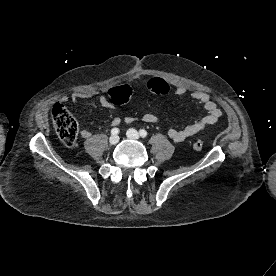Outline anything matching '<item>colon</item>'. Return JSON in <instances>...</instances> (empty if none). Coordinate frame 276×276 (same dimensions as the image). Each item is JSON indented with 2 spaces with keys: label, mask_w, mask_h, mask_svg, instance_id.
<instances>
[{
  "label": "colon",
  "mask_w": 276,
  "mask_h": 276,
  "mask_svg": "<svg viewBox=\"0 0 276 276\" xmlns=\"http://www.w3.org/2000/svg\"><path fill=\"white\" fill-rule=\"evenodd\" d=\"M149 87L157 92H162L168 88V84L159 78L149 81ZM132 92L124 87L112 89L108 93L109 100L114 103H123L131 98ZM51 118L53 127L59 139L67 146L75 144L79 127L76 119L68 112L66 107L61 103H56L51 109ZM193 150L200 151L203 148V142L197 140L192 145Z\"/></svg>",
  "instance_id": "5ec220e1"
}]
</instances>
